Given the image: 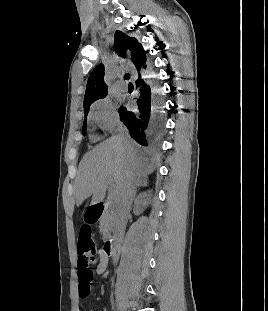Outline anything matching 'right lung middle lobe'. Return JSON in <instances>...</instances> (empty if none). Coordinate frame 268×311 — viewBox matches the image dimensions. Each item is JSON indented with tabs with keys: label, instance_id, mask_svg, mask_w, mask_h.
Instances as JSON below:
<instances>
[{
	"label": "right lung middle lobe",
	"instance_id": "1",
	"mask_svg": "<svg viewBox=\"0 0 268 311\" xmlns=\"http://www.w3.org/2000/svg\"><path fill=\"white\" fill-rule=\"evenodd\" d=\"M87 114H88V111L85 112V119H84V124H83V134H84L85 131H86V116H87Z\"/></svg>",
	"mask_w": 268,
	"mask_h": 311
}]
</instances>
